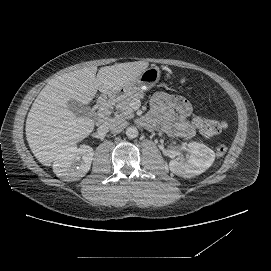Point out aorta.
I'll return each instance as SVG.
<instances>
[{
	"instance_id": "762f6f07",
	"label": "aorta",
	"mask_w": 271,
	"mask_h": 271,
	"mask_svg": "<svg viewBox=\"0 0 271 271\" xmlns=\"http://www.w3.org/2000/svg\"><path fill=\"white\" fill-rule=\"evenodd\" d=\"M139 132L135 126H130L126 128V136L129 139H134L138 136Z\"/></svg>"
}]
</instances>
